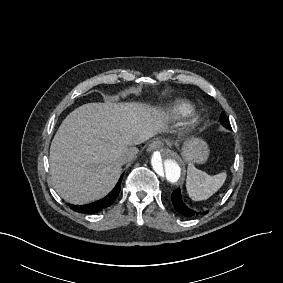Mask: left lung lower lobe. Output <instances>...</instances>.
<instances>
[{
  "label": "left lung lower lobe",
  "instance_id": "1",
  "mask_svg": "<svg viewBox=\"0 0 283 283\" xmlns=\"http://www.w3.org/2000/svg\"><path fill=\"white\" fill-rule=\"evenodd\" d=\"M220 122L224 127H226L229 130H232L231 125H230L228 118L225 115V113L221 114ZM172 203H173L175 209L184 216L192 217L194 215H199V213L192 211L186 205L183 204L182 199H181L180 189H176V190L173 191V193H172ZM201 214H205V212H202Z\"/></svg>",
  "mask_w": 283,
  "mask_h": 283
}]
</instances>
